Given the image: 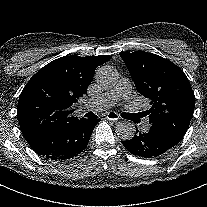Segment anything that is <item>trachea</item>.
<instances>
[{"instance_id": "trachea-1", "label": "trachea", "mask_w": 207, "mask_h": 207, "mask_svg": "<svg viewBox=\"0 0 207 207\" xmlns=\"http://www.w3.org/2000/svg\"><path fill=\"white\" fill-rule=\"evenodd\" d=\"M86 117H88V118H97V116L94 114V113H87L86 115H85Z\"/></svg>"}]
</instances>
